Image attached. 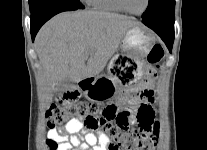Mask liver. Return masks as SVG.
I'll return each instance as SVG.
<instances>
[{
  "mask_svg": "<svg viewBox=\"0 0 207 150\" xmlns=\"http://www.w3.org/2000/svg\"><path fill=\"white\" fill-rule=\"evenodd\" d=\"M136 25L131 17L93 10L64 12L49 20L35 40L48 106L62 80L78 83L98 76Z\"/></svg>",
  "mask_w": 207,
  "mask_h": 150,
  "instance_id": "1",
  "label": "liver"
}]
</instances>
